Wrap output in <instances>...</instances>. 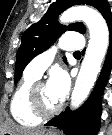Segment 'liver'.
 <instances>
[{
	"instance_id": "liver-1",
	"label": "liver",
	"mask_w": 112,
	"mask_h": 135,
	"mask_svg": "<svg viewBox=\"0 0 112 135\" xmlns=\"http://www.w3.org/2000/svg\"><path fill=\"white\" fill-rule=\"evenodd\" d=\"M5 132L10 133L11 135H45L44 128L28 130V129L20 128L11 123L6 124L4 130L0 131V134H3Z\"/></svg>"
}]
</instances>
